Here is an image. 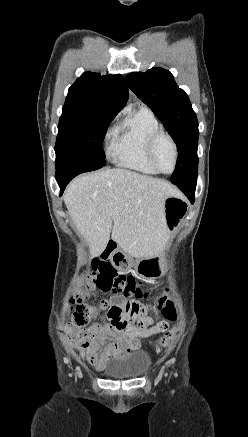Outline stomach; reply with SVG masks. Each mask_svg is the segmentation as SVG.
Instances as JSON below:
<instances>
[{
  "label": "stomach",
  "mask_w": 248,
  "mask_h": 437,
  "mask_svg": "<svg viewBox=\"0 0 248 437\" xmlns=\"http://www.w3.org/2000/svg\"><path fill=\"white\" fill-rule=\"evenodd\" d=\"M165 223L168 235H172L183 222L187 214V202L180 196H169L165 200ZM114 263L117 272H130L131 268L135 273H140L142 279H155L160 270V262L163 252L144 258L135 263L133 258L124 251H119L114 255Z\"/></svg>",
  "instance_id": "0dacf381"
}]
</instances>
